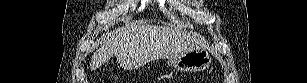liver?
<instances>
[{"label":"liver","mask_w":307,"mask_h":83,"mask_svg":"<svg viewBox=\"0 0 307 83\" xmlns=\"http://www.w3.org/2000/svg\"><path fill=\"white\" fill-rule=\"evenodd\" d=\"M193 41L179 31L163 26L131 25L107 34L104 45L92 56L95 70L113 55L123 68H138L150 61L171 59L194 49Z\"/></svg>","instance_id":"obj_1"}]
</instances>
